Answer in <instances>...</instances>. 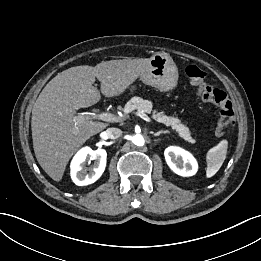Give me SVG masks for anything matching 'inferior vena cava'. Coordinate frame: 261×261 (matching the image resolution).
<instances>
[{
  "label": "inferior vena cava",
  "mask_w": 261,
  "mask_h": 261,
  "mask_svg": "<svg viewBox=\"0 0 261 261\" xmlns=\"http://www.w3.org/2000/svg\"><path fill=\"white\" fill-rule=\"evenodd\" d=\"M105 135L109 139H116V138H119L122 135V131L118 128L112 127V128H108L105 131Z\"/></svg>",
  "instance_id": "1"
}]
</instances>
